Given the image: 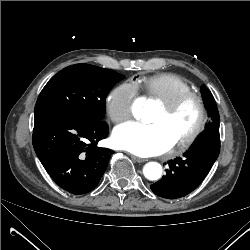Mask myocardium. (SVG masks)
<instances>
[{"label": "myocardium", "mask_w": 250, "mask_h": 250, "mask_svg": "<svg viewBox=\"0 0 250 250\" xmlns=\"http://www.w3.org/2000/svg\"><path fill=\"white\" fill-rule=\"evenodd\" d=\"M194 101L198 108V120L194 128L183 138L174 143L173 146L185 149L190 146L202 133L207 123V109L203 97L196 91L188 90L176 95L167 102H161V107L167 116L176 112L183 104Z\"/></svg>", "instance_id": "1"}]
</instances>
